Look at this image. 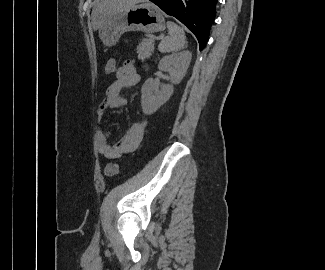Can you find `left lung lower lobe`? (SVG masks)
Returning <instances> with one entry per match:
<instances>
[{
    "mask_svg": "<svg viewBox=\"0 0 325 270\" xmlns=\"http://www.w3.org/2000/svg\"><path fill=\"white\" fill-rule=\"evenodd\" d=\"M166 14L177 18L197 38L200 51L208 39L210 26L215 19L217 0H150Z\"/></svg>",
    "mask_w": 325,
    "mask_h": 270,
    "instance_id": "1",
    "label": "left lung lower lobe"
}]
</instances>
